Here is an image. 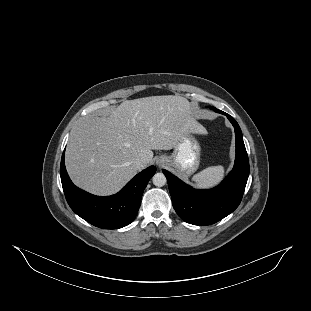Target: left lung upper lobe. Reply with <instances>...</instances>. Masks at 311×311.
<instances>
[{
  "label": "left lung upper lobe",
  "mask_w": 311,
  "mask_h": 311,
  "mask_svg": "<svg viewBox=\"0 0 311 311\" xmlns=\"http://www.w3.org/2000/svg\"><path fill=\"white\" fill-rule=\"evenodd\" d=\"M212 110H214L215 112H218V113H220L221 111L220 110H218V109H216V108H214V107H210Z\"/></svg>",
  "instance_id": "obj_1"
}]
</instances>
